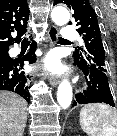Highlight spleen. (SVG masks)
Listing matches in <instances>:
<instances>
[{"label":"spleen","instance_id":"3e777b00","mask_svg":"<svg viewBox=\"0 0 117 136\" xmlns=\"http://www.w3.org/2000/svg\"><path fill=\"white\" fill-rule=\"evenodd\" d=\"M80 125L88 136H117V113L103 103L87 104L80 111Z\"/></svg>","mask_w":117,"mask_h":136}]
</instances>
